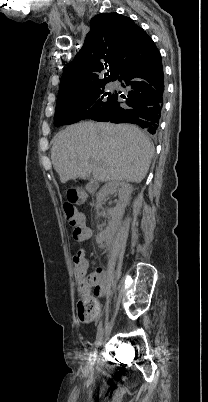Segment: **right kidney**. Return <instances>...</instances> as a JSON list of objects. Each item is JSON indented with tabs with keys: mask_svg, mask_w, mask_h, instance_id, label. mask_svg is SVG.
Segmentation results:
<instances>
[{
	"mask_svg": "<svg viewBox=\"0 0 208 402\" xmlns=\"http://www.w3.org/2000/svg\"><path fill=\"white\" fill-rule=\"evenodd\" d=\"M110 194H114V196H118L119 198L116 208H110V210H107L109 216H114V218H116L117 224L115 228H109L107 232L99 234V236L96 238L97 244H102V242H111L113 236H115L117 226L122 220L126 206H128V202L132 194V188L130 184H127V182H118V180H115V182H107V184H105V186H103V188H101L100 192L97 194L95 210L102 208L105 198L110 196Z\"/></svg>",
	"mask_w": 208,
	"mask_h": 402,
	"instance_id": "right-kidney-1",
	"label": "right kidney"
}]
</instances>
